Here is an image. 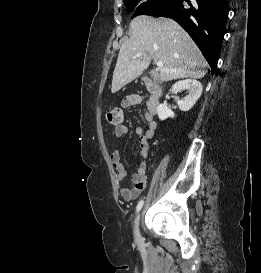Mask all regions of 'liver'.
I'll use <instances>...</instances> for the list:
<instances>
[{
  "label": "liver",
  "instance_id": "obj_1",
  "mask_svg": "<svg viewBox=\"0 0 261 273\" xmlns=\"http://www.w3.org/2000/svg\"><path fill=\"white\" fill-rule=\"evenodd\" d=\"M137 53L142 56L134 59ZM151 59L163 63L158 76L161 82L206 75L207 63L201 51L175 21L140 15L131 21L130 38L120 48L111 92H118L139 77Z\"/></svg>",
  "mask_w": 261,
  "mask_h": 273
}]
</instances>
